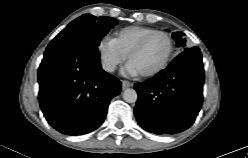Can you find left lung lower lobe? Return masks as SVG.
Returning a JSON list of instances; mask_svg holds the SVG:
<instances>
[{
    "label": "left lung lower lobe",
    "instance_id": "0a47b994",
    "mask_svg": "<svg viewBox=\"0 0 248 158\" xmlns=\"http://www.w3.org/2000/svg\"><path fill=\"white\" fill-rule=\"evenodd\" d=\"M204 69L198 47L180 53L154 77L136 83L134 114L140 126L155 134H175L189 128L203 101Z\"/></svg>",
    "mask_w": 248,
    "mask_h": 158
}]
</instances>
